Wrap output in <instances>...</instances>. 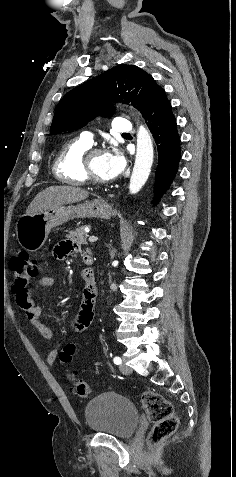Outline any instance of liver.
I'll use <instances>...</instances> for the list:
<instances>
[{
  "label": "liver",
  "instance_id": "obj_1",
  "mask_svg": "<svg viewBox=\"0 0 236 477\" xmlns=\"http://www.w3.org/2000/svg\"><path fill=\"white\" fill-rule=\"evenodd\" d=\"M89 196L86 190L72 186H50L36 195L26 214H38L59 205L80 202Z\"/></svg>",
  "mask_w": 236,
  "mask_h": 477
}]
</instances>
